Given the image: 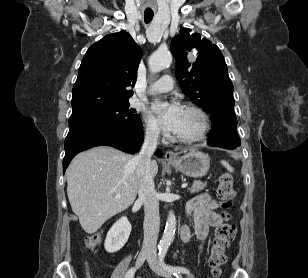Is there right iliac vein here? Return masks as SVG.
Segmentation results:
<instances>
[{
	"label": "right iliac vein",
	"mask_w": 308,
	"mask_h": 278,
	"mask_svg": "<svg viewBox=\"0 0 308 278\" xmlns=\"http://www.w3.org/2000/svg\"><path fill=\"white\" fill-rule=\"evenodd\" d=\"M150 256V253L148 251H141L137 257L136 260V266L140 267L143 262Z\"/></svg>",
	"instance_id": "1"
}]
</instances>
